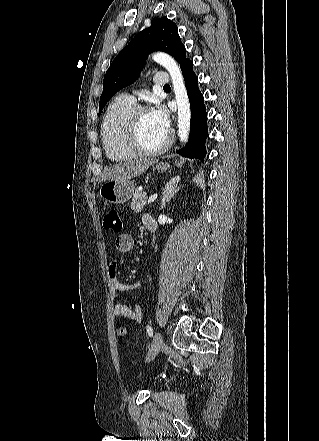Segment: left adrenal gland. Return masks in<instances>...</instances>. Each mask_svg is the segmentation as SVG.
<instances>
[{
	"instance_id": "obj_1",
	"label": "left adrenal gland",
	"mask_w": 319,
	"mask_h": 441,
	"mask_svg": "<svg viewBox=\"0 0 319 441\" xmlns=\"http://www.w3.org/2000/svg\"><path fill=\"white\" fill-rule=\"evenodd\" d=\"M179 182H180V176H175L172 179H170L169 182H167L162 192L160 210L164 209L166 207L167 202H169L172 196H174V194L178 192L180 188V186H178Z\"/></svg>"
}]
</instances>
